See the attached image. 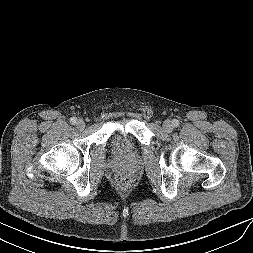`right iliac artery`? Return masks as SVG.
<instances>
[{"label": "right iliac artery", "instance_id": "82829eb1", "mask_svg": "<svg viewBox=\"0 0 253 253\" xmlns=\"http://www.w3.org/2000/svg\"><path fill=\"white\" fill-rule=\"evenodd\" d=\"M76 121H77V118H76V117L70 118V123H71L72 125H75V124H76Z\"/></svg>", "mask_w": 253, "mask_h": 253}]
</instances>
